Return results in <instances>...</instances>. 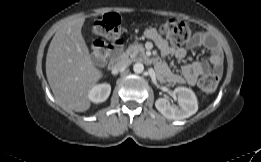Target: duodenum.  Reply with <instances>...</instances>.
<instances>
[{
    "mask_svg": "<svg viewBox=\"0 0 261 162\" xmlns=\"http://www.w3.org/2000/svg\"><path fill=\"white\" fill-rule=\"evenodd\" d=\"M122 44L123 41L121 43H111L109 45L107 56L111 59L112 63H115L122 58L121 55Z\"/></svg>",
    "mask_w": 261,
    "mask_h": 162,
    "instance_id": "1",
    "label": "duodenum"
}]
</instances>
